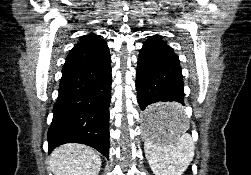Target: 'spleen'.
<instances>
[{
	"label": "spleen",
	"mask_w": 251,
	"mask_h": 175,
	"mask_svg": "<svg viewBox=\"0 0 251 175\" xmlns=\"http://www.w3.org/2000/svg\"><path fill=\"white\" fill-rule=\"evenodd\" d=\"M175 115H178V121L171 123L170 119ZM148 119L149 137L145 139V153L152 171L155 175H182L190 165L195 149L191 135L185 133L189 125L185 123L182 109H149ZM170 125H174L177 131L176 143L166 141Z\"/></svg>",
	"instance_id": "spleen-1"
}]
</instances>
